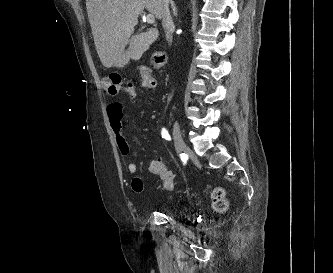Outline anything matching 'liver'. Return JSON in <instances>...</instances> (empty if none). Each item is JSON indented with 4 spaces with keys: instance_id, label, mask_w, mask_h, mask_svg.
<instances>
[{
    "instance_id": "liver-1",
    "label": "liver",
    "mask_w": 333,
    "mask_h": 273,
    "mask_svg": "<svg viewBox=\"0 0 333 273\" xmlns=\"http://www.w3.org/2000/svg\"><path fill=\"white\" fill-rule=\"evenodd\" d=\"M86 9L98 56L106 68L123 57L143 9L162 19L160 0H86Z\"/></svg>"
}]
</instances>
